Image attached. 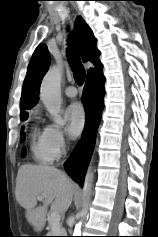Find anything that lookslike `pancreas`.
<instances>
[{"mask_svg": "<svg viewBox=\"0 0 158 237\" xmlns=\"http://www.w3.org/2000/svg\"><path fill=\"white\" fill-rule=\"evenodd\" d=\"M61 233H63V229L60 226L58 228H52L48 235L49 236H58Z\"/></svg>", "mask_w": 158, "mask_h": 237, "instance_id": "obj_1", "label": "pancreas"}]
</instances>
